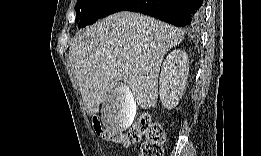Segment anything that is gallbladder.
I'll use <instances>...</instances> for the list:
<instances>
[{
  "label": "gallbladder",
  "instance_id": "obj_1",
  "mask_svg": "<svg viewBox=\"0 0 261 156\" xmlns=\"http://www.w3.org/2000/svg\"><path fill=\"white\" fill-rule=\"evenodd\" d=\"M117 90H111L102 104L101 120L110 130L122 131L131 127L137 110V102L131 89L124 88L127 85L119 83Z\"/></svg>",
  "mask_w": 261,
  "mask_h": 156
}]
</instances>
